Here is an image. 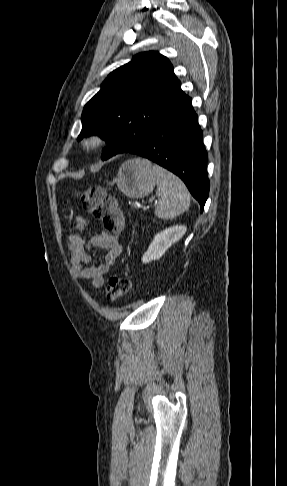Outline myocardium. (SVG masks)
Listing matches in <instances>:
<instances>
[{"instance_id": "1", "label": "myocardium", "mask_w": 287, "mask_h": 486, "mask_svg": "<svg viewBox=\"0 0 287 486\" xmlns=\"http://www.w3.org/2000/svg\"><path fill=\"white\" fill-rule=\"evenodd\" d=\"M105 143V138L102 134L100 133H95L90 136H88L84 141H83V146L86 147L87 149H97L100 146H102Z\"/></svg>"}]
</instances>
